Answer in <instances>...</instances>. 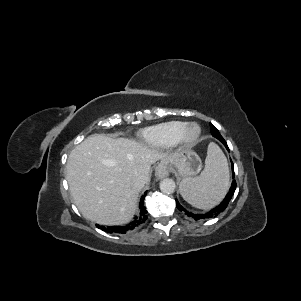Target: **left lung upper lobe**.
<instances>
[{
  "mask_svg": "<svg viewBox=\"0 0 301 301\" xmlns=\"http://www.w3.org/2000/svg\"><path fill=\"white\" fill-rule=\"evenodd\" d=\"M210 130L219 132L218 129L214 125H212L211 123H210Z\"/></svg>",
  "mask_w": 301,
  "mask_h": 301,
  "instance_id": "1",
  "label": "left lung upper lobe"
}]
</instances>
